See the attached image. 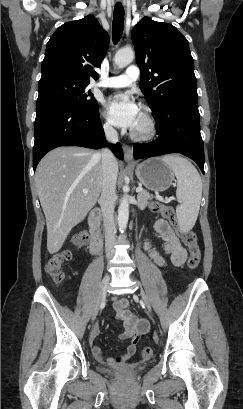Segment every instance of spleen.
Segmentation results:
<instances>
[{
  "mask_svg": "<svg viewBox=\"0 0 243 409\" xmlns=\"http://www.w3.org/2000/svg\"><path fill=\"white\" fill-rule=\"evenodd\" d=\"M162 161L172 169L177 178L176 197L180 204L176 207V215L180 230L188 232L195 225L199 213L201 177L194 165L179 155H165Z\"/></svg>",
  "mask_w": 243,
  "mask_h": 409,
  "instance_id": "obj_1",
  "label": "spleen"
}]
</instances>
